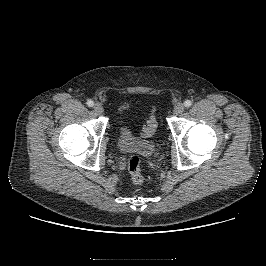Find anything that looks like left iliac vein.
Segmentation results:
<instances>
[{
    "label": "left iliac vein",
    "mask_w": 266,
    "mask_h": 266,
    "mask_svg": "<svg viewBox=\"0 0 266 266\" xmlns=\"http://www.w3.org/2000/svg\"><path fill=\"white\" fill-rule=\"evenodd\" d=\"M184 109H185L184 104H182V103H178V104L174 107V109H173V113H174L175 115H179V114H181V113L184 111Z\"/></svg>",
    "instance_id": "4c4485c4"
}]
</instances>
